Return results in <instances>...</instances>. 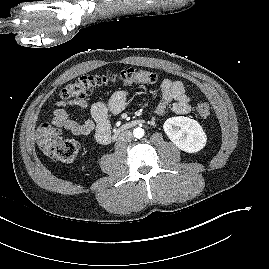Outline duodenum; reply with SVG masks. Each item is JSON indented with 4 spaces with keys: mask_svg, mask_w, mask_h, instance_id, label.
Instances as JSON below:
<instances>
[{
    "mask_svg": "<svg viewBox=\"0 0 269 269\" xmlns=\"http://www.w3.org/2000/svg\"><path fill=\"white\" fill-rule=\"evenodd\" d=\"M144 123H145V121L143 119H133V120L124 122L120 127H118V129L114 133V138L119 136L122 132H124L128 129L140 126Z\"/></svg>",
    "mask_w": 269,
    "mask_h": 269,
    "instance_id": "1",
    "label": "duodenum"
}]
</instances>
